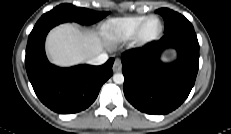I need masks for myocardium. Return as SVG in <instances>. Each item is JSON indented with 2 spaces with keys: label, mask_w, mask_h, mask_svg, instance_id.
I'll return each mask as SVG.
<instances>
[{
  "label": "myocardium",
  "mask_w": 231,
  "mask_h": 134,
  "mask_svg": "<svg viewBox=\"0 0 231 134\" xmlns=\"http://www.w3.org/2000/svg\"><path fill=\"white\" fill-rule=\"evenodd\" d=\"M158 20L159 23H160V28L158 30V32L151 36V37H147L145 35V29H146V26L147 24L151 21V20ZM163 31H164V23L162 21V19L157 16V15H151V16H148L141 24L140 26L138 27L134 37L132 38L133 39V42L136 46L138 47H145V46H148V45H151L153 44L154 42H156L163 34Z\"/></svg>",
  "instance_id": "1"
}]
</instances>
